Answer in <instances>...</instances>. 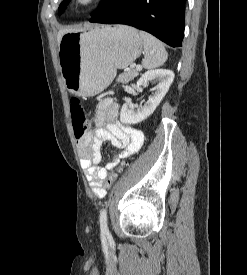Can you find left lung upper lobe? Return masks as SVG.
Instances as JSON below:
<instances>
[{
    "mask_svg": "<svg viewBox=\"0 0 247 275\" xmlns=\"http://www.w3.org/2000/svg\"><path fill=\"white\" fill-rule=\"evenodd\" d=\"M110 0H102L100 3V6L98 10L93 14L95 15L99 10H101ZM70 2V0H64L60 6H59V14L63 12V9L66 7V5Z\"/></svg>",
    "mask_w": 247,
    "mask_h": 275,
    "instance_id": "1",
    "label": "left lung upper lobe"
}]
</instances>
